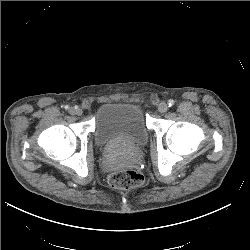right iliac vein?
<instances>
[{
    "label": "right iliac vein",
    "mask_w": 250,
    "mask_h": 250,
    "mask_svg": "<svg viewBox=\"0 0 250 250\" xmlns=\"http://www.w3.org/2000/svg\"><path fill=\"white\" fill-rule=\"evenodd\" d=\"M69 113L71 114V115H77V116H81L82 115V113H83V111H82V109H80V108H69Z\"/></svg>",
    "instance_id": "obj_1"
}]
</instances>
